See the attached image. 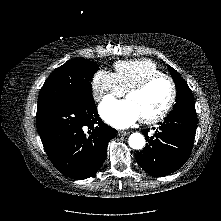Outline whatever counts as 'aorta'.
<instances>
[{"label":"aorta","mask_w":221,"mask_h":221,"mask_svg":"<svg viewBox=\"0 0 221 221\" xmlns=\"http://www.w3.org/2000/svg\"><path fill=\"white\" fill-rule=\"evenodd\" d=\"M129 146L132 149L139 150L145 146V138L141 133H133L128 138Z\"/></svg>","instance_id":"aorta-1"}]
</instances>
